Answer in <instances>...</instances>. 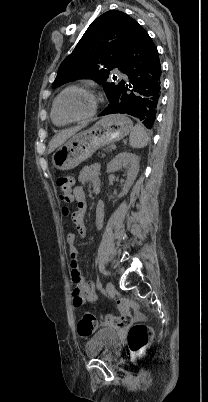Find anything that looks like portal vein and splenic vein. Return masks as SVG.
Listing matches in <instances>:
<instances>
[{
    "mask_svg": "<svg viewBox=\"0 0 208 402\" xmlns=\"http://www.w3.org/2000/svg\"><path fill=\"white\" fill-rule=\"evenodd\" d=\"M112 150H116V146H112Z\"/></svg>",
    "mask_w": 208,
    "mask_h": 402,
    "instance_id": "18ae733b",
    "label": "portal vein and splenic vein"
}]
</instances>
